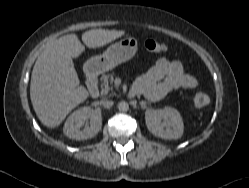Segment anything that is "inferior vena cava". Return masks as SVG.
I'll use <instances>...</instances> for the list:
<instances>
[{"instance_id":"1","label":"inferior vena cava","mask_w":249,"mask_h":188,"mask_svg":"<svg viewBox=\"0 0 249 188\" xmlns=\"http://www.w3.org/2000/svg\"><path fill=\"white\" fill-rule=\"evenodd\" d=\"M114 102L110 100L103 101V105L106 107H111L113 106Z\"/></svg>"}]
</instances>
